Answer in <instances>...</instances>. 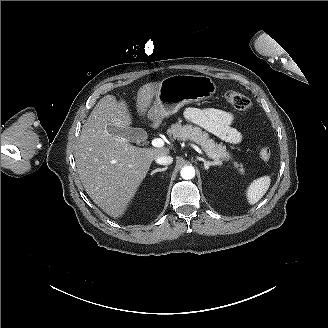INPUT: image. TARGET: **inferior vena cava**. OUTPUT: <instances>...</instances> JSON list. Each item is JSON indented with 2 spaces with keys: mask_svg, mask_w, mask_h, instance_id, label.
Wrapping results in <instances>:
<instances>
[{
  "mask_svg": "<svg viewBox=\"0 0 328 328\" xmlns=\"http://www.w3.org/2000/svg\"><path fill=\"white\" fill-rule=\"evenodd\" d=\"M156 163L160 165H169L173 162V158L168 155L158 156L155 158Z\"/></svg>",
  "mask_w": 328,
  "mask_h": 328,
  "instance_id": "obj_1",
  "label": "inferior vena cava"
}]
</instances>
